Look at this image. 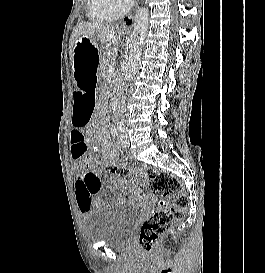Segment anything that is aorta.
<instances>
[{"label":"aorta","instance_id":"762f6f07","mask_svg":"<svg viewBox=\"0 0 265 273\" xmlns=\"http://www.w3.org/2000/svg\"><path fill=\"white\" fill-rule=\"evenodd\" d=\"M149 25V11L147 8L143 7L138 10L134 17L133 23V33H132V42L131 49L127 64L124 69L123 77L125 81H130L133 79L137 68L138 63L142 53V47L144 39L147 34Z\"/></svg>","mask_w":265,"mask_h":273}]
</instances>
